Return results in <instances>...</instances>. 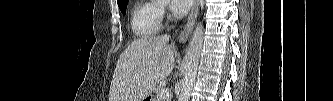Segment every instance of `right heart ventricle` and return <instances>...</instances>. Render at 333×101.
I'll use <instances>...</instances> for the list:
<instances>
[{"label": "right heart ventricle", "instance_id": "right-heart-ventricle-1", "mask_svg": "<svg viewBox=\"0 0 333 101\" xmlns=\"http://www.w3.org/2000/svg\"><path fill=\"white\" fill-rule=\"evenodd\" d=\"M161 16L158 1L140 2L131 16V29L142 39L156 35L160 29Z\"/></svg>", "mask_w": 333, "mask_h": 101}]
</instances>
